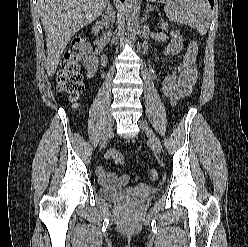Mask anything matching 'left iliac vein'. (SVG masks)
Segmentation results:
<instances>
[{
    "mask_svg": "<svg viewBox=\"0 0 248 247\" xmlns=\"http://www.w3.org/2000/svg\"><path fill=\"white\" fill-rule=\"evenodd\" d=\"M139 126L146 133L153 150L156 153H160L162 150L160 140L156 136V134L153 132V130L150 128L148 123L144 120H139Z\"/></svg>",
    "mask_w": 248,
    "mask_h": 247,
    "instance_id": "left-iliac-vein-1",
    "label": "left iliac vein"
}]
</instances>
